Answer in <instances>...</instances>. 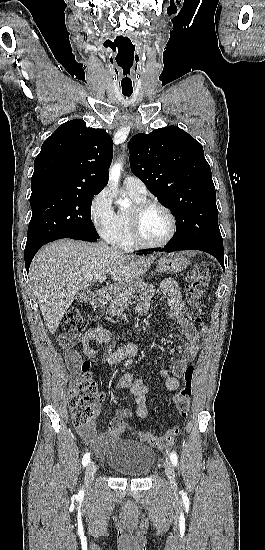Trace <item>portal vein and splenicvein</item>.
I'll return each mask as SVG.
<instances>
[{
    "label": "portal vein and splenic vein",
    "instance_id": "obj_1",
    "mask_svg": "<svg viewBox=\"0 0 265 550\" xmlns=\"http://www.w3.org/2000/svg\"><path fill=\"white\" fill-rule=\"evenodd\" d=\"M105 280H106V276H101V277L99 278V282H100V283L104 282Z\"/></svg>",
    "mask_w": 265,
    "mask_h": 550
}]
</instances>
